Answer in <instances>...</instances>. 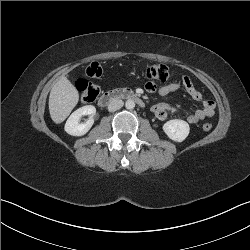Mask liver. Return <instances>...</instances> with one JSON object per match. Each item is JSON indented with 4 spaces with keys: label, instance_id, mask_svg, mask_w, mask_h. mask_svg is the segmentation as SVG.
I'll return each mask as SVG.
<instances>
[{
    "label": "liver",
    "instance_id": "6515ba94",
    "mask_svg": "<svg viewBox=\"0 0 250 250\" xmlns=\"http://www.w3.org/2000/svg\"><path fill=\"white\" fill-rule=\"evenodd\" d=\"M79 101V93L67 76H61L53 85L49 95V112L51 119L62 123Z\"/></svg>",
    "mask_w": 250,
    "mask_h": 250
}]
</instances>
